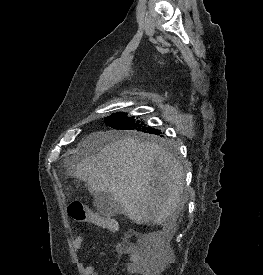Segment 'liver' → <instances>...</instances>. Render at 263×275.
I'll use <instances>...</instances> for the list:
<instances>
[{"label":"liver","instance_id":"obj_1","mask_svg":"<svg viewBox=\"0 0 263 275\" xmlns=\"http://www.w3.org/2000/svg\"><path fill=\"white\" fill-rule=\"evenodd\" d=\"M74 175L93 194L109 192L137 224L173 229L183 208V167L162 146L116 132H96L80 143Z\"/></svg>","mask_w":263,"mask_h":275}]
</instances>
